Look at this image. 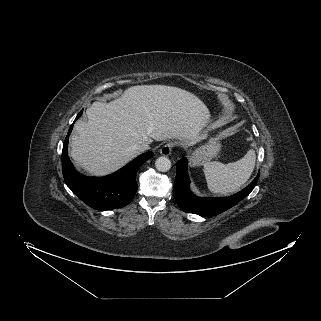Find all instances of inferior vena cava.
<instances>
[{"instance_id":"obj_1","label":"inferior vena cava","mask_w":321,"mask_h":321,"mask_svg":"<svg viewBox=\"0 0 321 321\" xmlns=\"http://www.w3.org/2000/svg\"><path fill=\"white\" fill-rule=\"evenodd\" d=\"M149 148L150 147H149L148 143H146V142L145 143H141V144H139V145H137L135 147V149L140 153L148 150Z\"/></svg>"}]
</instances>
